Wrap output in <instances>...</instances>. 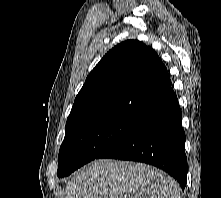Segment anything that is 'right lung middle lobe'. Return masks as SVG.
Instances as JSON below:
<instances>
[{
    "label": "right lung middle lobe",
    "mask_w": 221,
    "mask_h": 198,
    "mask_svg": "<svg viewBox=\"0 0 221 198\" xmlns=\"http://www.w3.org/2000/svg\"><path fill=\"white\" fill-rule=\"evenodd\" d=\"M140 121L132 116L114 115L96 119L65 133L58 155V177L68 176L97 159L126 137Z\"/></svg>",
    "instance_id": "1"
}]
</instances>
